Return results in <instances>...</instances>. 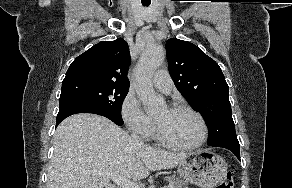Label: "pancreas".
I'll list each match as a JSON object with an SVG mask.
<instances>
[{"mask_svg": "<svg viewBox=\"0 0 292 188\" xmlns=\"http://www.w3.org/2000/svg\"><path fill=\"white\" fill-rule=\"evenodd\" d=\"M166 180L169 182L166 188H188L187 182L175 176H167Z\"/></svg>", "mask_w": 292, "mask_h": 188, "instance_id": "cf45deb5", "label": "pancreas"}]
</instances>
